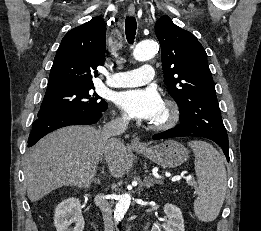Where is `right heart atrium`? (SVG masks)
Instances as JSON below:
<instances>
[{
	"label": "right heart atrium",
	"instance_id": "obj_1",
	"mask_svg": "<svg viewBox=\"0 0 261 231\" xmlns=\"http://www.w3.org/2000/svg\"><path fill=\"white\" fill-rule=\"evenodd\" d=\"M129 117L126 114H121L118 118V122L121 124H125L128 121Z\"/></svg>",
	"mask_w": 261,
	"mask_h": 231
}]
</instances>
